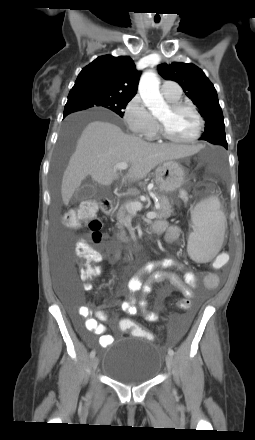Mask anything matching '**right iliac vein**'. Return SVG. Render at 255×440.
<instances>
[{"mask_svg": "<svg viewBox=\"0 0 255 440\" xmlns=\"http://www.w3.org/2000/svg\"><path fill=\"white\" fill-rule=\"evenodd\" d=\"M98 358L97 357H93L91 360V369L95 370L98 366Z\"/></svg>", "mask_w": 255, "mask_h": 440, "instance_id": "right-iliac-vein-1", "label": "right iliac vein"}]
</instances>
